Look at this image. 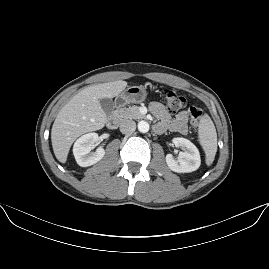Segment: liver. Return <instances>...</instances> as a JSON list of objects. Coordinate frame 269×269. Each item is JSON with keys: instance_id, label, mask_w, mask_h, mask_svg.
Masks as SVG:
<instances>
[{"instance_id": "obj_1", "label": "liver", "mask_w": 269, "mask_h": 269, "mask_svg": "<svg viewBox=\"0 0 269 269\" xmlns=\"http://www.w3.org/2000/svg\"><path fill=\"white\" fill-rule=\"evenodd\" d=\"M126 86L127 82L121 80L90 86L60 110L52 127L53 149L59 161H66L70 146L78 136L104 126L106 113L99 99L112 98Z\"/></svg>"}]
</instances>
